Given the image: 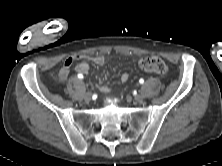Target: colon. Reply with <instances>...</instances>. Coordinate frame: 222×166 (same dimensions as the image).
<instances>
[{"instance_id": "1", "label": "colon", "mask_w": 222, "mask_h": 166, "mask_svg": "<svg viewBox=\"0 0 222 166\" xmlns=\"http://www.w3.org/2000/svg\"><path fill=\"white\" fill-rule=\"evenodd\" d=\"M139 67L148 73L166 74L168 72L167 64L158 57H144L139 61Z\"/></svg>"}]
</instances>
